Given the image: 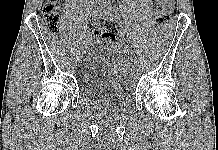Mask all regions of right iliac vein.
I'll list each match as a JSON object with an SVG mask.
<instances>
[{
	"label": "right iliac vein",
	"mask_w": 218,
	"mask_h": 150,
	"mask_svg": "<svg viewBox=\"0 0 218 150\" xmlns=\"http://www.w3.org/2000/svg\"><path fill=\"white\" fill-rule=\"evenodd\" d=\"M101 16V11L98 8H94V10L92 11V18L96 17V18H100ZM86 48L82 47L80 49V56L82 57L85 54Z\"/></svg>",
	"instance_id": "1"
}]
</instances>
